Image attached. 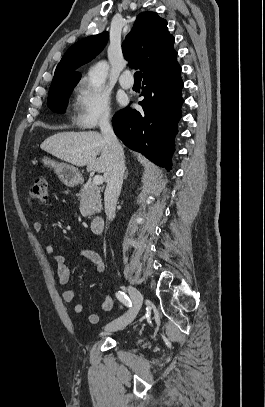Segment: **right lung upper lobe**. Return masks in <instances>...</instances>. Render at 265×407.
<instances>
[{"mask_svg": "<svg viewBox=\"0 0 265 407\" xmlns=\"http://www.w3.org/2000/svg\"><path fill=\"white\" fill-rule=\"evenodd\" d=\"M107 40L108 33L103 32L73 44L57 65L51 86L61 82L78 83L81 74L75 70L95 58ZM173 45L174 37L168 31L167 21L155 12H143L123 42L122 50L130 67L140 69L145 75L175 53Z\"/></svg>", "mask_w": 265, "mask_h": 407, "instance_id": "obj_1", "label": "right lung upper lobe"}]
</instances>
